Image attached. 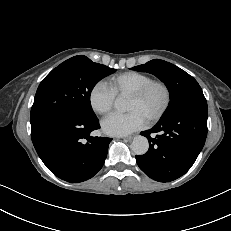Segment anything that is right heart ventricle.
I'll return each instance as SVG.
<instances>
[{"mask_svg": "<svg viewBox=\"0 0 231 231\" xmlns=\"http://www.w3.org/2000/svg\"><path fill=\"white\" fill-rule=\"evenodd\" d=\"M150 80H152V78L148 74L128 71L110 78L108 86L115 95H130Z\"/></svg>", "mask_w": 231, "mask_h": 231, "instance_id": "right-heart-ventricle-1", "label": "right heart ventricle"}]
</instances>
